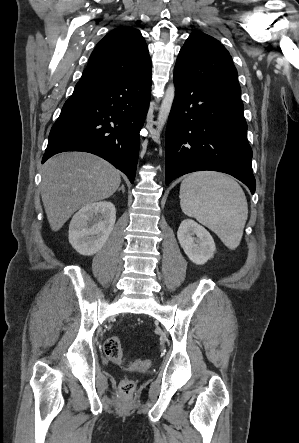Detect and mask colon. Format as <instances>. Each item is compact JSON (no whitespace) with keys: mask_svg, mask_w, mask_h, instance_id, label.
<instances>
[{"mask_svg":"<svg viewBox=\"0 0 299 443\" xmlns=\"http://www.w3.org/2000/svg\"><path fill=\"white\" fill-rule=\"evenodd\" d=\"M103 352L110 360L127 366L133 371H143L149 368V361H132L129 362L123 354L120 340L116 336H109L103 342ZM136 384L134 380L125 378L120 382L119 390L124 396H131L134 392Z\"/></svg>","mask_w":299,"mask_h":443,"instance_id":"colon-1","label":"colon"}]
</instances>
